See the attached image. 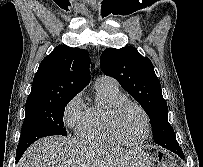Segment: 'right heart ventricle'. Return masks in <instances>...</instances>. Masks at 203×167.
<instances>
[{"label":"right heart ventricle","mask_w":203,"mask_h":167,"mask_svg":"<svg viewBox=\"0 0 203 167\" xmlns=\"http://www.w3.org/2000/svg\"><path fill=\"white\" fill-rule=\"evenodd\" d=\"M125 98L116 83L96 86L95 103L84 108L76 129L80 139L91 143L121 144L107 130V116L120 99Z\"/></svg>","instance_id":"right-heart-ventricle-1"}]
</instances>
